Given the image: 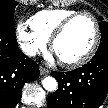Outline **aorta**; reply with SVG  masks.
I'll use <instances>...</instances> for the list:
<instances>
[{"label":"aorta","instance_id":"762f6f07","mask_svg":"<svg viewBox=\"0 0 108 108\" xmlns=\"http://www.w3.org/2000/svg\"><path fill=\"white\" fill-rule=\"evenodd\" d=\"M42 85L47 91H55L57 89V81L51 76H47L42 80Z\"/></svg>","mask_w":108,"mask_h":108}]
</instances>
